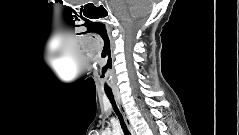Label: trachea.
Returning a JSON list of instances; mask_svg holds the SVG:
<instances>
[{
  "mask_svg": "<svg viewBox=\"0 0 239 135\" xmlns=\"http://www.w3.org/2000/svg\"><path fill=\"white\" fill-rule=\"evenodd\" d=\"M107 97L109 98V100H110V102H111V104H112V106H113V109H114L116 115H117L118 118H119L121 127H122V129L124 130V133H125L126 135H130V132L128 131L127 126H126V124H125V122H124L123 116H122L121 112L119 111V109H118V107H117V105H116V102H115V100H114L113 94H112V93H107Z\"/></svg>",
  "mask_w": 239,
  "mask_h": 135,
  "instance_id": "3493384b",
  "label": "trachea"
}]
</instances>
